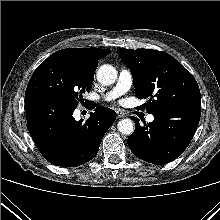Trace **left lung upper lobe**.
Instances as JSON below:
<instances>
[{
  "label": "left lung upper lobe",
  "mask_w": 220,
  "mask_h": 220,
  "mask_svg": "<svg viewBox=\"0 0 220 220\" xmlns=\"http://www.w3.org/2000/svg\"><path fill=\"white\" fill-rule=\"evenodd\" d=\"M123 63L130 68L137 98H148L147 112L180 104L200 103L199 86L193 75L169 54L157 50L118 48Z\"/></svg>",
  "instance_id": "1"
}]
</instances>
